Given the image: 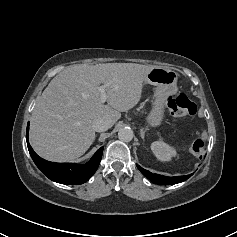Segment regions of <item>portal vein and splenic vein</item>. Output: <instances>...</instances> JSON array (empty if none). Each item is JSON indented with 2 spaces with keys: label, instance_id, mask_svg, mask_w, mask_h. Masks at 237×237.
<instances>
[{
  "label": "portal vein and splenic vein",
  "instance_id": "obj_1",
  "mask_svg": "<svg viewBox=\"0 0 237 237\" xmlns=\"http://www.w3.org/2000/svg\"><path fill=\"white\" fill-rule=\"evenodd\" d=\"M106 87H107V85H102L97 88V90L100 93V102L101 103H105V101L107 100V95H106V91H105Z\"/></svg>",
  "mask_w": 237,
  "mask_h": 237
}]
</instances>
